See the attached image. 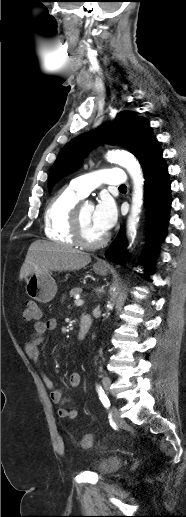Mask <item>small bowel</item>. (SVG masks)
Segmentation results:
<instances>
[{
	"mask_svg": "<svg viewBox=\"0 0 186 517\" xmlns=\"http://www.w3.org/2000/svg\"><path fill=\"white\" fill-rule=\"evenodd\" d=\"M57 327V321L54 318L47 320H38L34 323V333L30 336L29 340L25 345V352L29 359L33 361L38 360V345L43 341L44 334L49 331L55 330ZM43 381L45 386L50 391L51 400L58 406V416L60 418H77L79 411L77 408H66V404H74V400L64 395V390L57 388L54 382L46 375H43ZM81 376L78 372H74L70 375L69 384L71 387H77L80 384ZM92 446V445H91ZM89 446V447H91ZM88 447V448H89Z\"/></svg>",
	"mask_w": 186,
	"mask_h": 517,
	"instance_id": "small-bowel-1",
	"label": "small bowel"
}]
</instances>
